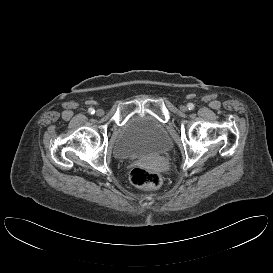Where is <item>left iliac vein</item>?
Here are the masks:
<instances>
[{"label":"left iliac vein","instance_id":"1","mask_svg":"<svg viewBox=\"0 0 273 273\" xmlns=\"http://www.w3.org/2000/svg\"><path fill=\"white\" fill-rule=\"evenodd\" d=\"M180 110L183 111V112H185V111H187V107L185 105H181L180 106Z\"/></svg>","mask_w":273,"mask_h":273}]
</instances>
